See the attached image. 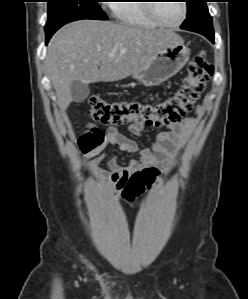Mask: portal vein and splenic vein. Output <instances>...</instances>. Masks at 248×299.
Masks as SVG:
<instances>
[{"mask_svg": "<svg viewBox=\"0 0 248 299\" xmlns=\"http://www.w3.org/2000/svg\"><path fill=\"white\" fill-rule=\"evenodd\" d=\"M113 55H114L113 53H110V54H109L110 57H112Z\"/></svg>", "mask_w": 248, "mask_h": 299, "instance_id": "1", "label": "portal vein and splenic vein"}]
</instances>
